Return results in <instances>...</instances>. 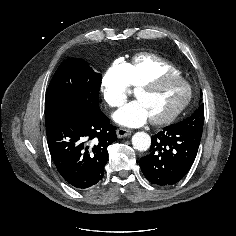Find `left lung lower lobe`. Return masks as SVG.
Wrapping results in <instances>:
<instances>
[{
    "mask_svg": "<svg viewBox=\"0 0 236 236\" xmlns=\"http://www.w3.org/2000/svg\"><path fill=\"white\" fill-rule=\"evenodd\" d=\"M201 135L173 124L152 136L150 154L140 159V167L146 179L159 186L179 182L196 158Z\"/></svg>",
    "mask_w": 236,
    "mask_h": 236,
    "instance_id": "1",
    "label": "left lung lower lobe"
}]
</instances>
